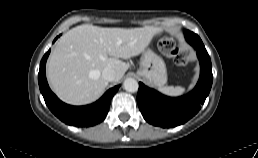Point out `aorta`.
<instances>
[{
	"instance_id": "aorta-1",
	"label": "aorta",
	"mask_w": 258,
	"mask_h": 158,
	"mask_svg": "<svg viewBox=\"0 0 258 158\" xmlns=\"http://www.w3.org/2000/svg\"><path fill=\"white\" fill-rule=\"evenodd\" d=\"M123 86L126 91L131 93H134L138 90V82L133 78L125 79Z\"/></svg>"
}]
</instances>
